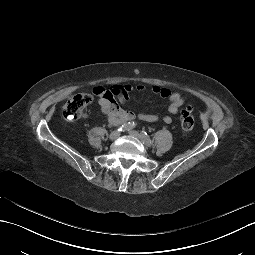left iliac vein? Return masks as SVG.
<instances>
[{"instance_id": "1", "label": "left iliac vein", "mask_w": 255, "mask_h": 255, "mask_svg": "<svg viewBox=\"0 0 255 255\" xmlns=\"http://www.w3.org/2000/svg\"><path fill=\"white\" fill-rule=\"evenodd\" d=\"M129 134L131 135V136H133V137H136V138H138V139H140L143 143H144V141L142 140V137H141V134H139L137 131H135V130H130L129 131ZM145 144V143H144ZM146 146H150V145H147V144H145Z\"/></svg>"}]
</instances>
